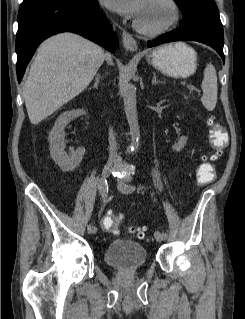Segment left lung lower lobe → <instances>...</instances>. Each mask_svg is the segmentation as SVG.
<instances>
[{
    "instance_id": "obj_1",
    "label": "left lung lower lobe",
    "mask_w": 245,
    "mask_h": 319,
    "mask_svg": "<svg viewBox=\"0 0 245 319\" xmlns=\"http://www.w3.org/2000/svg\"><path fill=\"white\" fill-rule=\"evenodd\" d=\"M181 40L198 41L207 44L217 51L223 62L225 61L223 53V30L205 22L180 24L178 28L171 32L164 33L155 41H148L147 46L154 47L162 43Z\"/></svg>"
}]
</instances>
